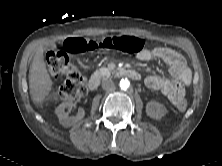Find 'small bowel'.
<instances>
[{
    "mask_svg": "<svg viewBox=\"0 0 222 166\" xmlns=\"http://www.w3.org/2000/svg\"><path fill=\"white\" fill-rule=\"evenodd\" d=\"M137 58L141 61L160 59L169 65L173 81L152 75L146 78L145 84L149 89L162 93L173 105H177L185 96V86L192 80L191 71L184 57L170 48L155 47L140 51Z\"/></svg>",
    "mask_w": 222,
    "mask_h": 166,
    "instance_id": "obj_1",
    "label": "small bowel"
}]
</instances>
